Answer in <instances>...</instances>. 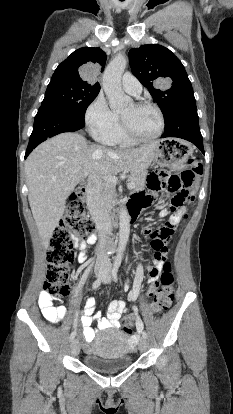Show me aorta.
<instances>
[{"instance_id": "obj_1", "label": "aorta", "mask_w": 233, "mask_h": 414, "mask_svg": "<svg viewBox=\"0 0 233 414\" xmlns=\"http://www.w3.org/2000/svg\"><path fill=\"white\" fill-rule=\"evenodd\" d=\"M127 60L122 55H117L110 61L103 74V89L108 98L110 108L121 109L132 102L121 87V77L126 68ZM119 249L116 261H120L130 234V217L126 208H121L119 213Z\"/></svg>"}]
</instances>
